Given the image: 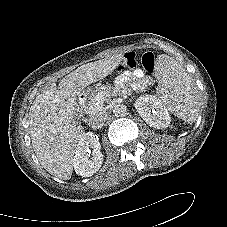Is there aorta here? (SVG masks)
I'll list each match as a JSON object with an SVG mask.
<instances>
[{
    "mask_svg": "<svg viewBox=\"0 0 227 227\" xmlns=\"http://www.w3.org/2000/svg\"><path fill=\"white\" fill-rule=\"evenodd\" d=\"M126 112V106L123 105V104H117L114 106L113 108V113L116 115V116H122L124 115Z\"/></svg>",
    "mask_w": 227,
    "mask_h": 227,
    "instance_id": "762f6f07",
    "label": "aorta"
}]
</instances>
